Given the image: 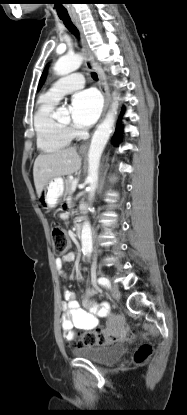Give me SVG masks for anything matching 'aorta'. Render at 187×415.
Here are the masks:
<instances>
[{
    "label": "aorta",
    "mask_w": 187,
    "mask_h": 415,
    "mask_svg": "<svg viewBox=\"0 0 187 415\" xmlns=\"http://www.w3.org/2000/svg\"><path fill=\"white\" fill-rule=\"evenodd\" d=\"M83 61L81 55H66L60 57L54 65V71L57 75H67L77 70ZM118 101L115 100L111 111L107 114L103 122L97 127L91 140L88 152V177L90 200L93 198L98 182V168L101 154L110 137L112 127L117 114ZM82 250L84 254L90 255L93 249L92 231L89 222H85L81 233Z\"/></svg>",
    "instance_id": "obj_1"
}]
</instances>
